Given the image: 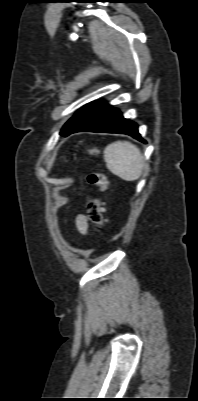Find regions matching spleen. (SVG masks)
Here are the masks:
<instances>
[{"mask_svg":"<svg viewBox=\"0 0 198 401\" xmlns=\"http://www.w3.org/2000/svg\"><path fill=\"white\" fill-rule=\"evenodd\" d=\"M104 160L109 171L125 181L139 179L145 165L139 148L128 141L107 145Z\"/></svg>","mask_w":198,"mask_h":401,"instance_id":"spleen-1","label":"spleen"}]
</instances>
